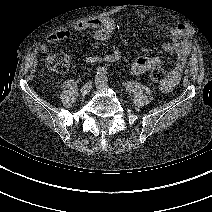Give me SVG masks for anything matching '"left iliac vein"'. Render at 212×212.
<instances>
[{
	"instance_id": "obj_1",
	"label": "left iliac vein",
	"mask_w": 212,
	"mask_h": 212,
	"mask_svg": "<svg viewBox=\"0 0 212 212\" xmlns=\"http://www.w3.org/2000/svg\"><path fill=\"white\" fill-rule=\"evenodd\" d=\"M95 85L99 90H107L109 87L102 79H96Z\"/></svg>"
}]
</instances>
